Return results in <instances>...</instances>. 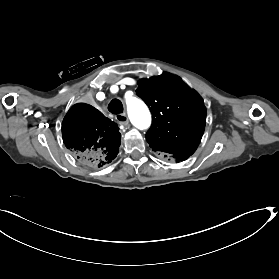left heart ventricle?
<instances>
[{
    "instance_id": "b2bd125f",
    "label": "left heart ventricle",
    "mask_w": 279,
    "mask_h": 279,
    "mask_svg": "<svg viewBox=\"0 0 279 279\" xmlns=\"http://www.w3.org/2000/svg\"><path fill=\"white\" fill-rule=\"evenodd\" d=\"M107 70H104V72H102L98 78H97V84H101L104 80V76H105V73H106ZM100 96H102V94H100ZM90 98V97H89Z\"/></svg>"
}]
</instances>
